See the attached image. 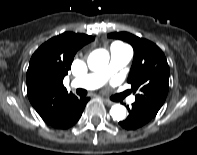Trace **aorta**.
Listing matches in <instances>:
<instances>
[{
	"mask_svg": "<svg viewBox=\"0 0 197 155\" xmlns=\"http://www.w3.org/2000/svg\"><path fill=\"white\" fill-rule=\"evenodd\" d=\"M88 67L92 71H100L106 68L109 63V53L105 49L94 50L88 57ZM113 120L121 121L126 117V108L123 105L115 104L110 109Z\"/></svg>",
	"mask_w": 197,
	"mask_h": 155,
	"instance_id": "aorta-1",
	"label": "aorta"
}]
</instances>
